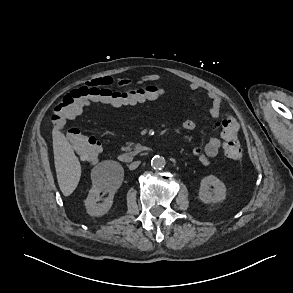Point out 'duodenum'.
Instances as JSON below:
<instances>
[{
	"instance_id": "410a0bca",
	"label": "duodenum",
	"mask_w": 293,
	"mask_h": 293,
	"mask_svg": "<svg viewBox=\"0 0 293 293\" xmlns=\"http://www.w3.org/2000/svg\"><path fill=\"white\" fill-rule=\"evenodd\" d=\"M151 149L149 147L146 146H139L135 149H132L130 151H123L121 153H119L118 155V159L125 164H129L131 163L138 154L140 153H146V152H150Z\"/></svg>"
}]
</instances>
